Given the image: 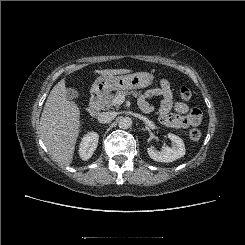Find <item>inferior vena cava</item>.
Wrapping results in <instances>:
<instances>
[{
	"label": "inferior vena cava",
	"instance_id": "obj_1",
	"mask_svg": "<svg viewBox=\"0 0 245 245\" xmlns=\"http://www.w3.org/2000/svg\"><path fill=\"white\" fill-rule=\"evenodd\" d=\"M116 116V113L115 112H102V113H99L97 119L100 123H109L111 122Z\"/></svg>",
	"mask_w": 245,
	"mask_h": 245
}]
</instances>
